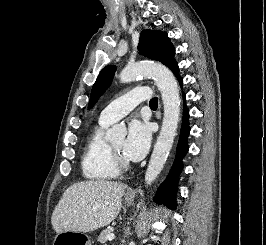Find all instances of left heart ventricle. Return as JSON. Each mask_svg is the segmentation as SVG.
<instances>
[{"label":"left heart ventricle","instance_id":"obj_1","mask_svg":"<svg viewBox=\"0 0 266 245\" xmlns=\"http://www.w3.org/2000/svg\"><path fill=\"white\" fill-rule=\"evenodd\" d=\"M123 143H124L123 138L118 139V140H115V141H113L112 143H110V144L112 145L113 149H114L119 155H121L122 157H123V155H122V147H123Z\"/></svg>","mask_w":266,"mask_h":245}]
</instances>
